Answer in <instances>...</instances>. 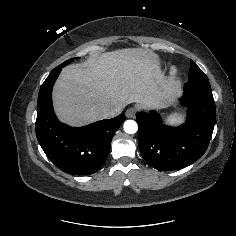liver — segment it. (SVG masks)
I'll return each mask as SVG.
<instances>
[{"instance_id":"liver-1","label":"liver","mask_w":236,"mask_h":236,"mask_svg":"<svg viewBox=\"0 0 236 236\" xmlns=\"http://www.w3.org/2000/svg\"><path fill=\"white\" fill-rule=\"evenodd\" d=\"M175 93L163 78L157 56L139 48L119 49L65 67L53 91L59 119L82 126L103 118V113L137 102L151 107Z\"/></svg>"}]
</instances>
